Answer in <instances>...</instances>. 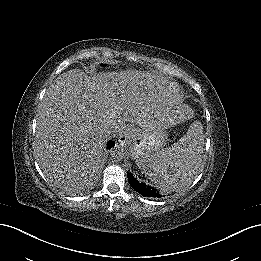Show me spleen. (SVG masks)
<instances>
[{
    "label": "spleen",
    "mask_w": 261,
    "mask_h": 261,
    "mask_svg": "<svg viewBox=\"0 0 261 261\" xmlns=\"http://www.w3.org/2000/svg\"><path fill=\"white\" fill-rule=\"evenodd\" d=\"M199 138V132L190 127L177 143L148 154L137 165L163 191L179 189L185 180L190 179L189 169L200 162ZM178 166L183 167L181 172H177Z\"/></svg>",
    "instance_id": "1"
}]
</instances>
